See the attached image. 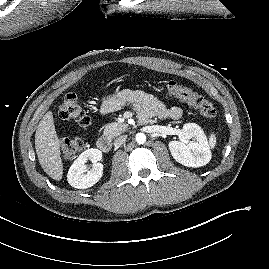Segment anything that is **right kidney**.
Segmentation results:
<instances>
[{"label": "right kidney", "instance_id": "1", "mask_svg": "<svg viewBox=\"0 0 269 269\" xmlns=\"http://www.w3.org/2000/svg\"><path fill=\"white\" fill-rule=\"evenodd\" d=\"M102 152L98 149H88L82 152L73 162L67 174L68 183L77 189H87L96 184L103 175V165L99 163ZM90 160L91 170H86V162Z\"/></svg>", "mask_w": 269, "mask_h": 269}]
</instances>
